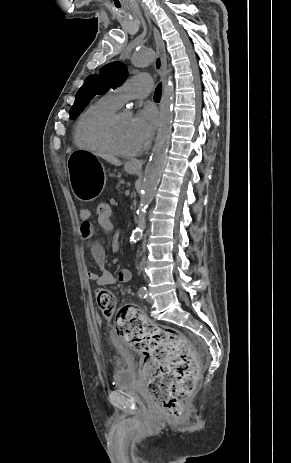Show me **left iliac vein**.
<instances>
[{
  "mask_svg": "<svg viewBox=\"0 0 291 463\" xmlns=\"http://www.w3.org/2000/svg\"><path fill=\"white\" fill-rule=\"evenodd\" d=\"M146 301L150 304L153 303V299L150 296H147Z\"/></svg>",
  "mask_w": 291,
  "mask_h": 463,
  "instance_id": "1",
  "label": "left iliac vein"
}]
</instances>
